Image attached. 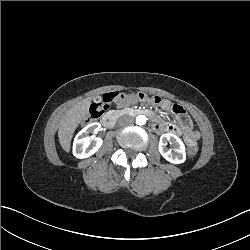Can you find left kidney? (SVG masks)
<instances>
[{
    "label": "left kidney",
    "mask_w": 250,
    "mask_h": 250,
    "mask_svg": "<svg viewBox=\"0 0 250 250\" xmlns=\"http://www.w3.org/2000/svg\"><path fill=\"white\" fill-rule=\"evenodd\" d=\"M167 142L176 144L177 147L174 149V152H176L177 155L173 156L171 150L166 149ZM159 152L167 161L173 164L183 163L186 158L184 143L178 136L172 133H165L161 135L159 141Z\"/></svg>",
    "instance_id": "1"
}]
</instances>
